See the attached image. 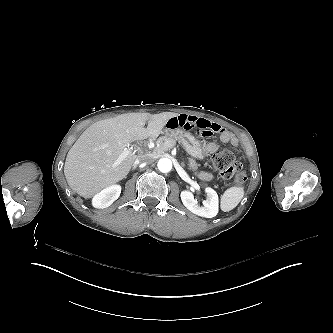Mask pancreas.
Masks as SVG:
<instances>
[{
	"mask_svg": "<svg viewBox=\"0 0 333 333\" xmlns=\"http://www.w3.org/2000/svg\"><path fill=\"white\" fill-rule=\"evenodd\" d=\"M176 145V140L172 136H161L156 141V147L152 150L153 155H161L164 152L170 150ZM189 169L196 171L198 169V164L192 158L189 159Z\"/></svg>",
	"mask_w": 333,
	"mask_h": 333,
	"instance_id": "cf45deb5",
	"label": "pancreas"
}]
</instances>
